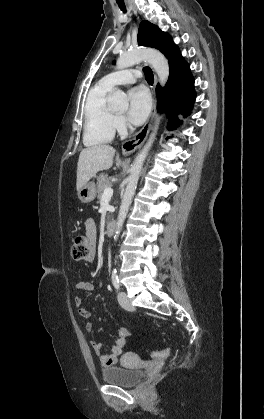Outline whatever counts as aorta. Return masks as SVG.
Instances as JSON below:
<instances>
[{
    "mask_svg": "<svg viewBox=\"0 0 264 419\" xmlns=\"http://www.w3.org/2000/svg\"><path fill=\"white\" fill-rule=\"evenodd\" d=\"M140 61H147L155 70L158 75L159 82L164 86L169 77V65L167 59L162 53L153 49H136L126 53L120 54L116 62L117 69H124L131 67ZM108 104L110 107L121 108L128 105L127 95L121 90H115L113 94L108 99ZM160 117H157L152 133L148 139L147 144L144 146L143 150L135 158L134 163L131 167V173L128 177V184L122 198L120 205V210L116 222V229L114 240H117L121 232L124 220L127 216L129 207L132 202L134 192L139 180V176L142 170L143 162L146 158L148 150L152 146L157 130L160 125Z\"/></svg>",
    "mask_w": 264,
    "mask_h": 419,
    "instance_id": "obj_1",
    "label": "aorta"
}]
</instances>
